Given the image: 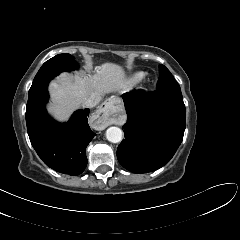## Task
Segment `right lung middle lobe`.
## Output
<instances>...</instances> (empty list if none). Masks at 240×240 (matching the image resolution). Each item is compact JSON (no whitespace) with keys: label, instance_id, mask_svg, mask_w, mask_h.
Segmentation results:
<instances>
[{"label":"right lung middle lobe","instance_id":"right-lung-middle-lobe-1","mask_svg":"<svg viewBox=\"0 0 240 240\" xmlns=\"http://www.w3.org/2000/svg\"><path fill=\"white\" fill-rule=\"evenodd\" d=\"M75 58L70 54H60L46 61L36 74L29 92L35 90L43 82L51 80L62 71H71L77 68Z\"/></svg>","mask_w":240,"mask_h":240}]
</instances>
